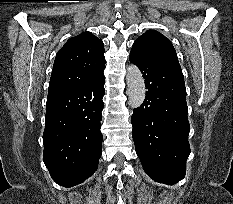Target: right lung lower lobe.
<instances>
[{"mask_svg": "<svg viewBox=\"0 0 233 204\" xmlns=\"http://www.w3.org/2000/svg\"><path fill=\"white\" fill-rule=\"evenodd\" d=\"M103 71L85 85L47 98L43 161L61 186L82 183L98 168L103 139Z\"/></svg>", "mask_w": 233, "mask_h": 204, "instance_id": "right-lung-lower-lobe-1", "label": "right lung lower lobe"}]
</instances>
